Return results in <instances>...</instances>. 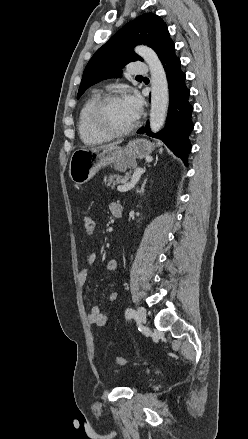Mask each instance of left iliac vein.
I'll list each match as a JSON object with an SVG mask.
<instances>
[{
  "label": "left iliac vein",
  "mask_w": 248,
  "mask_h": 439,
  "mask_svg": "<svg viewBox=\"0 0 248 439\" xmlns=\"http://www.w3.org/2000/svg\"><path fill=\"white\" fill-rule=\"evenodd\" d=\"M134 318L136 319V321L140 324H145L146 323V310L143 307H138L137 311L134 315Z\"/></svg>",
  "instance_id": "4c4485c4"
}]
</instances>
